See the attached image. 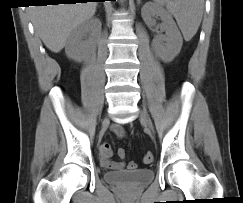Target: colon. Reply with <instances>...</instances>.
Returning <instances> with one entry per match:
<instances>
[{
	"label": "colon",
	"instance_id": "obj_1",
	"mask_svg": "<svg viewBox=\"0 0 243 203\" xmlns=\"http://www.w3.org/2000/svg\"><path fill=\"white\" fill-rule=\"evenodd\" d=\"M119 154H120V155H125V150H124V149H120V150H119ZM153 160H154V155H153V153H151V152H147V153L144 155V157H143V162L146 163V164L152 163ZM135 168H136V164H135L134 162H130V163L128 164V169L133 170V169H135Z\"/></svg>",
	"mask_w": 243,
	"mask_h": 203
}]
</instances>
